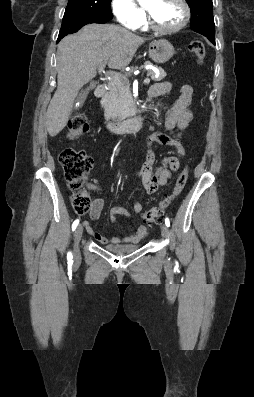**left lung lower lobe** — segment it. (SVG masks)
<instances>
[{"instance_id":"1","label":"left lung lower lobe","mask_w":254,"mask_h":397,"mask_svg":"<svg viewBox=\"0 0 254 397\" xmlns=\"http://www.w3.org/2000/svg\"><path fill=\"white\" fill-rule=\"evenodd\" d=\"M192 29L206 36L213 44H215V30H208L204 28H192Z\"/></svg>"}]
</instances>
